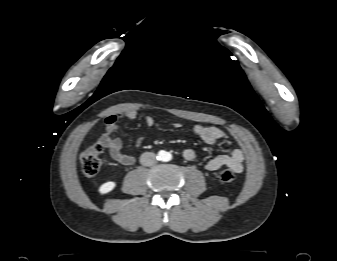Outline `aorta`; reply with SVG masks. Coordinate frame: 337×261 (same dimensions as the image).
I'll use <instances>...</instances> for the list:
<instances>
[{"label":"aorta","instance_id":"762f6f07","mask_svg":"<svg viewBox=\"0 0 337 261\" xmlns=\"http://www.w3.org/2000/svg\"><path fill=\"white\" fill-rule=\"evenodd\" d=\"M169 154L167 152L164 153V157L166 158Z\"/></svg>","mask_w":337,"mask_h":261}]
</instances>
